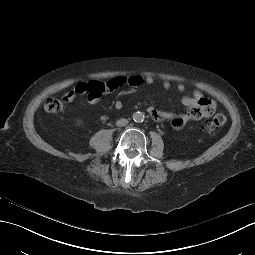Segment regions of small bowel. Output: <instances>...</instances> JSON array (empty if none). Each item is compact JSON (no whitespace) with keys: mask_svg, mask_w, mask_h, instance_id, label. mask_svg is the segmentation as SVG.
Returning a JSON list of instances; mask_svg holds the SVG:
<instances>
[{"mask_svg":"<svg viewBox=\"0 0 255 255\" xmlns=\"http://www.w3.org/2000/svg\"><path fill=\"white\" fill-rule=\"evenodd\" d=\"M153 83L154 78L152 76L116 77L105 83L99 81L80 82L63 96V101L68 103L79 96H87L88 101L94 104L97 103L104 94L123 87H128L127 90L120 91L119 97L114 101V107L116 109H121L123 107V102L120 96L135 91L143 84L152 85ZM162 86L164 89H169L172 83L169 80H164ZM176 90L178 92H183L185 90V85L183 83H178L176 85ZM182 104L188 108L187 112L182 114L173 115L154 107H149L148 113L156 121L170 119L173 128L181 129L188 121L210 117L216 109L215 102L204 97L199 91H195L192 95L184 96L182 98Z\"/></svg>","mask_w":255,"mask_h":255,"instance_id":"1","label":"small bowel"}]
</instances>
